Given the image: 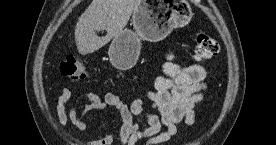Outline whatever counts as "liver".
I'll list each match as a JSON object with an SVG mask.
<instances>
[{
    "label": "liver",
    "instance_id": "liver-1",
    "mask_svg": "<svg viewBox=\"0 0 276 145\" xmlns=\"http://www.w3.org/2000/svg\"><path fill=\"white\" fill-rule=\"evenodd\" d=\"M140 0H93L78 18L75 41L80 54L93 53L121 33ZM106 30L99 37L96 31Z\"/></svg>",
    "mask_w": 276,
    "mask_h": 145
}]
</instances>
